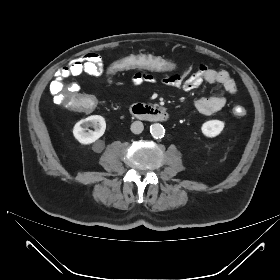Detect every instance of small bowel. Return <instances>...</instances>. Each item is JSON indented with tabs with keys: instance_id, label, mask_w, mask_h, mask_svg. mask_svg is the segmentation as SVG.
I'll return each mask as SVG.
<instances>
[{
	"instance_id": "small-bowel-1",
	"label": "small bowel",
	"mask_w": 280,
	"mask_h": 280,
	"mask_svg": "<svg viewBox=\"0 0 280 280\" xmlns=\"http://www.w3.org/2000/svg\"><path fill=\"white\" fill-rule=\"evenodd\" d=\"M160 57V56H159ZM191 65L187 66L189 69ZM65 69L69 70V74L85 73L91 76H98L103 73L104 64L99 55L95 53H89L80 59L72 61L67 65ZM154 73L136 72L131 78V84L133 86H139L144 83H155L157 77ZM185 71H181L176 76H170L167 73L161 78V82L169 87L183 89L190 91L199 87L202 83H208L220 88L218 94L199 98L195 101V108L202 114L211 115L220 111L226 104L224 92L229 94H235L237 92V86L235 81L230 77L229 73L225 70H215L208 68L205 65L198 67L197 71L189 78L185 79Z\"/></svg>"
}]
</instances>
